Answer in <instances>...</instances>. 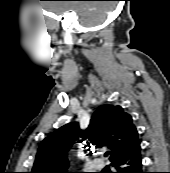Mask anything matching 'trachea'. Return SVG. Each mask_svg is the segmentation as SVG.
<instances>
[{
  "instance_id": "1",
  "label": "trachea",
  "mask_w": 170,
  "mask_h": 173,
  "mask_svg": "<svg viewBox=\"0 0 170 173\" xmlns=\"http://www.w3.org/2000/svg\"><path fill=\"white\" fill-rule=\"evenodd\" d=\"M108 155H109V152H106V153H105V156H108Z\"/></svg>"
}]
</instances>
